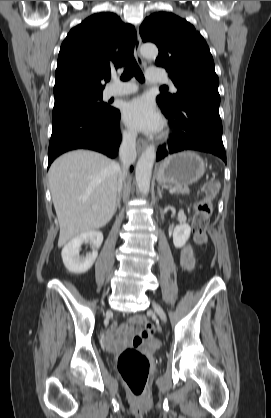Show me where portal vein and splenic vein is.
<instances>
[{"instance_id": "1", "label": "portal vein and splenic vein", "mask_w": 271, "mask_h": 418, "mask_svg": "<svg viewBox=\"0 0 271 418\" xmlns=\"http://www.w3.org/2000/svg\"><path fill=\"white\" fill-rule=\"evenodd\" d=\"M176 190H175V188H171L170 190H169V192L170 193H174Z\"/></svg>"}]
</instances>
